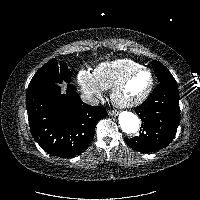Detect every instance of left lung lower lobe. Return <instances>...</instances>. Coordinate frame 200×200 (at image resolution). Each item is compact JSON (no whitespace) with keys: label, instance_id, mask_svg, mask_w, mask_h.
I'll return each mask as SVG.
<instances>
[{"label":"left lung lower lobe","instance_id":"obj_1","mask_svg":"<svg viewBox=\"0 0 200 200\" xmlns=\"http://www.w3.org/2000/svg\"><path fill=\"white\" fill-rule=\"evenodd\" d=\"M141 118L139 136L125 139L134 150L148 153L168 146L180 122L177 83H159L147 100L135 109Z\"/></svg>","mask_w":200,"mask_h":200}]
</instances>
